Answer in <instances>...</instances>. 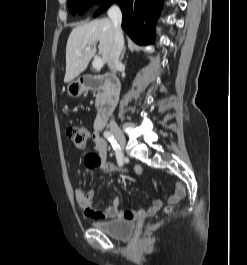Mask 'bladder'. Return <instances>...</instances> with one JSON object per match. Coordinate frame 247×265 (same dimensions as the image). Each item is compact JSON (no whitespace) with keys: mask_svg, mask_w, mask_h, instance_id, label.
<instances>
[{"mask_svg":"<svg viewBox=\"0 0 247 265\" xmlns=\"http://www.w3.org/2000/svg\"><path fill=\"white\" fill-rule=\"evenodd\" d=\"M92 226L95 229L115 239L126 238L130 236L134 230V224L129 219L93 221Z\"/></svg>","mask_w":247,"mask_h":265,"instance_id":"obj_1","label":"bladder"}]
</instances>
